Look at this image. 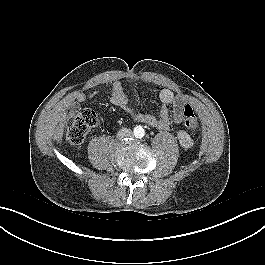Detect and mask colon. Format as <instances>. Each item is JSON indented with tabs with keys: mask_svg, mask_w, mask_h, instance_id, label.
<instances>
[{
	"mask_svg": "<svg viewBox=\"0 0 265 265\" xmlns=\"http://www.w3.org/2000/svg\"><path fill=\"white\" fill-rule=\"evenodd\" d=\"M184 125L189 130L198 128V118L193 107L189 104L183 109ZM97 115L91 109H82L72 114L67 122V139L72 145H80L86 135L95 127Z\"/></svg>",
	"mask_w": 265,
	"mask_h": 265,
	"instance_id": "1",
	"label": "colon"
}]
</instances>
